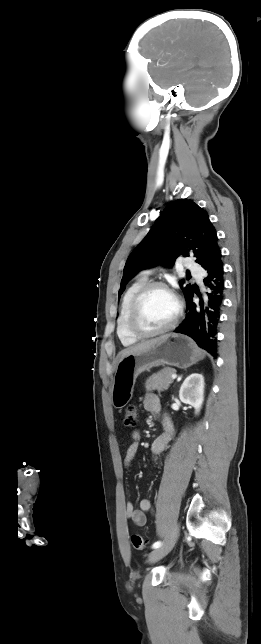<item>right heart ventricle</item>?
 Returning <instances> with one entry per match:
<instances>
[{
  "label": "right heart ventricle",
  "mask_w": 261,
  "mask_h": 644,
  "mask_svg": "<svg viewBox=\"0 0 261 644\" xmlns=\"http://www.w3.org/2000/svg\"><path fill=\"white\" fill-rule=\"evenodd\" d=\"M147 282V276L142 275L132 282L126 289L120 306L117 320V336L124 346L134 345L139 339L130 334L127 328V317L133 297L137 291Z\"/></svg>",
  "instance_id": "1"
}]
</instances>
